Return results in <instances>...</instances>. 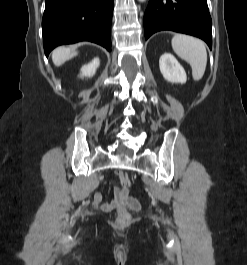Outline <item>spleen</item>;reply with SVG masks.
Instances as JSON below:
<instances>
[{
    "label": "spleen",
    "mask_w": 247,
    "mask_h": 265,
    "mask_svg": "<svg viewBox=\"0 0 247 265\" xmlns=\"http://www.w3.org/2000/svg\"><path fill=\"white\" fill-rule=\"evenodd\" d=\"M171 44L174 52L190 64L193 79L200 80L207 65V52L204 42L188 35L176 34L172 38Z\"/></svg>",
    "instance_id": "3e777b00"
}]
</instances>
